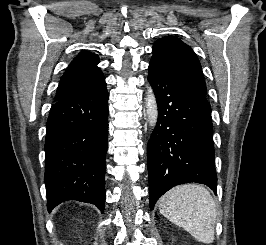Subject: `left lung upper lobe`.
<instances>
[{
  "label": "left lung upper lobe",
  "instance_id": "1",
  "mask_svg": "<svg viewBox=\"0 0 266 245\" xmlns=\"http://www.w3.org/2000/svg\"><path fill=\"white\" fill-rule=\"evenodd\" d=\"M151 61L158 62L206 95L202 68L192 49L177 37L158 39Z\"/></svg>",
  "mask_w": 266,
  "mask_h": 245
}]
</instances>
